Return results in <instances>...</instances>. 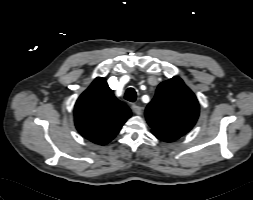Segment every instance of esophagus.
Instances as JSON below:
<instances>
[{
  "label": "esophagus",
  "instance_id": "34e87169",
  "mask_svg": "<svg viewBox=\"0 0 253 200\" xmlns=\"http://www.w3.org/2000/svg\"><path fill=\"white\" fill-rule=\"evenodd\" d=\"M132 110L137 115L142 114V108L140 106H138V105L133 104L132 105Z\"/></svg>",
  "mask_w": 253,
  "mask_h": 200
}]
</instances>
